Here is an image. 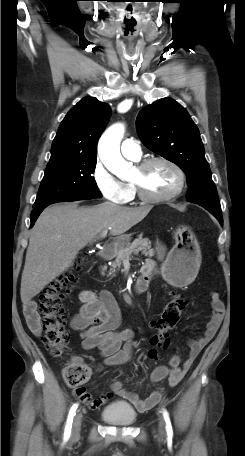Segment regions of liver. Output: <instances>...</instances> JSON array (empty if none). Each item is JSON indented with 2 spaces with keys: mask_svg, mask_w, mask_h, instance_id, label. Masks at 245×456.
<instances>
[{
  "mask_svg": "<svg viewBox=\"0 0 245 456\" xmlns=\"http://www.w3.org/2000/svg\"><path fill=\"white\" fill-rule=\"evenodd\" d=\"M152 206L123 207L104 202L93 207L54 204L39 216L31 231L21 278L24 304L71 265L82 248L105 229L120 236L142 221Z\"/></svg>",
  "mask_w": 245,
  "mask_h": 456,
  "instance_id": "liver-1",
  "label": "liver"
}]
</instances>
